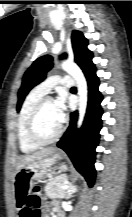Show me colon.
<instances>
[{"instance_id":"colon-1","label":"colon","mask_w":132,"mask_h":217,"mask_svg":"<svg viewBox=\"0 0 132 217\" xmlns=\"http://www.w3.org/2000/svg\"><path fill=\"white\" fill-rule=\"evenodd\" d=\"M26 204L31 210L32 217H41V195L38 187H34L31 191L28 192V195L26 197Z\"/></svg>"}]
</instances>
